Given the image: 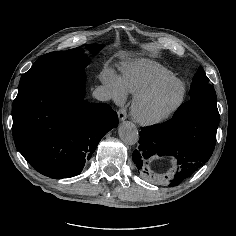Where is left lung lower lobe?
Instances as JSON below:
<instances>
[{
	"instance_id": "obj_1",
	"label": "left lung lower lobe",
	"mask_w": 236,
	"mask_h": 236,
	"mask_svg": "<svg viewBox=\"0 0 236 236\" xmlns=\"http://www.w3.org/2000/svg\"><path fill=\"white\" fill-rule=\"evenodd\" d=\"M216 102L194 99L182 104L173 117L160 125L143 127L133 162L143 175L156 156L177 159L180 171L169 186H177L211 157L219 125ZM167 178V177H166Z\"/></svg>"
}]
</instances>
